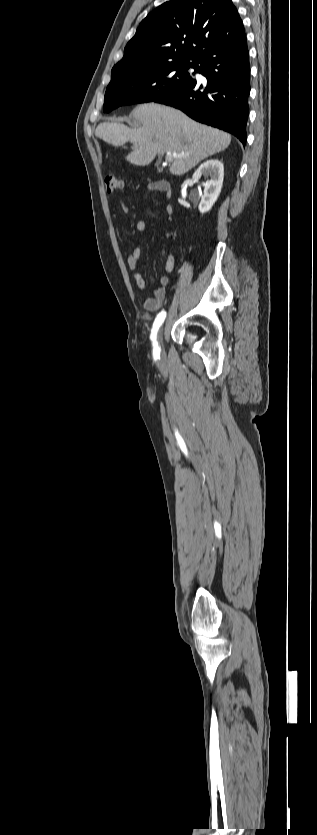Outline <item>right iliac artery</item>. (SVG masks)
<instances>
[{"instance_id":"1","label":"right iliac artery","mask_w":317,"mask_h":835,"mask_svg":"<svg viewBox=\"0 0 317 835\" xmlns=\"http://www.w3.org/2000/svg\"><path fill=\"white\" fill-rule=\"evenodd\" d=\"M165 317H166V312L163 310L157 315V317L154 321V324H153V328H152L151 340L153 341V346H154L153 353H154V356L156 358L159 357V353H160V347L158 346V343L156 341L157 331H158L159 327L161 326V324L163 323V321L165 320Z\"/></svg>"}]
</instances>
